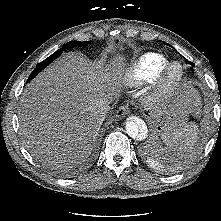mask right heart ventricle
<instances>
[{
  "instance_id": "e07e8e85",
  "label": "right heart ventricle",
  "mask_w": 221,
  "mask_h": 221,
  "mask_svg": "<svg viewBox=\"0 0 221 221\" xmlns=\"http://www.w3.org/2000/svg\"><path fill=\"white\" fill-rule=\"evenodd\" d=\"M169 60L162 54L148 52L137 58L124 74V82L130 87H140L156 80Z\"/></svg>"
}]
</instances>
